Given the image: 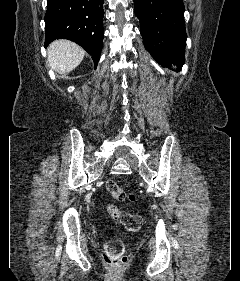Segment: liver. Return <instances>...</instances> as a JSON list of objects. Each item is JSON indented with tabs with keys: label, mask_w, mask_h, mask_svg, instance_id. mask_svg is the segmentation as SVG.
<instances>
[{
	"label": "liver",
	"mask_w": 240,
	"mask_h": 281,
	"mask_svg": "<svg viewBox=\"0 0 240 281\" xmlns=\"http://www.w3.org/2000/svg\"><path fill=\"white\" fill-rule=\"evenodd\" d=\"M49 66L60 74L75 69L83 60L85 51L77 44L68 40H56L48 49Z\"/></svg>",
	"instance_id": "obj_1"
}]
</instances>
